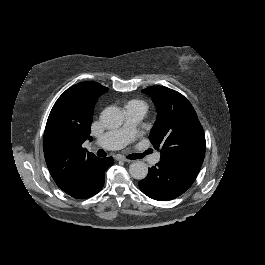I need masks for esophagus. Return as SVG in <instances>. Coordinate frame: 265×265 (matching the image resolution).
<instances>
[{
    "instance_id": "esophagus-1",
    "label": "esophagus",
    "mask_w": 265,
    "mask_h": 265,
    "mask_svg": "<svg viewBox=\"0 0 265 265\" xmlns=\"http://www.w3.org/2000/svg\"><path fill=\"white\" fill-rule=\"evenodd\" d=\"M117 160H121V161H124V162H131L130 159H127L125 156H122V155H118L116 157Z\"/></svg>"
}]
</instances>
